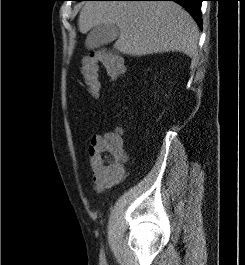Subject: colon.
Listing matches in <instances>:
<instances>
[{"label":"colon","instance_id":"colon-1","mask_svg":"<svg viewBox=\"0 0 245 265\" xmlns=\"http://www.w3.org/2000/svg\"><path fill=\"white\" fill-rule=\"evenodd\" d=\"M99 64H102L109 77L119 79L124 73L122 58L112 51L98 49L83 61L82 74L91 96L97 97L101 89ZM125 159L124 142L120 132L106 135L103 143L93 156V167L109 179H118L122 174Z\"/></svg>","mask_w":245,"mask_h":265}]
</instances>
